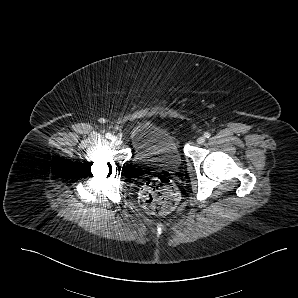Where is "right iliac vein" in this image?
Wrapping results in <instances>:
<instances>
[{"mask_svg":"<svg viewBox=\"0 0 298 298\" xmlns=\"http://www.w3.org/2000/svg\"><path fill=\"white\" fill-rule=\"evenodd\" d=\"M112 142L115 144V145H119L121 143V140L118 138V137H113L112 138Z\"/></svg>","mask_w":298,"mask_h":298,"instance_id":"63e3f726","label":"right iliac vein"}]
</instances>
